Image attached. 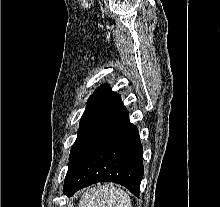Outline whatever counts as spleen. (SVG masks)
Here are the masks:
<instances>
[{
    "mask_svg": "<svg viewBox=\"0 0 220 207\" xmlns=\"http://www.w3.org/2000/svg\"><path fill=\"white\" fill-rule=\"evenodd\" d=\"M79 207H132L129 195L113 184L97 185L86 190Z\"/></svg>",
    "mask_w": 220,
    "mask_h": 207,
    "instance_id": "obj_1",
    "label": "spleen"
}]
</instances>
